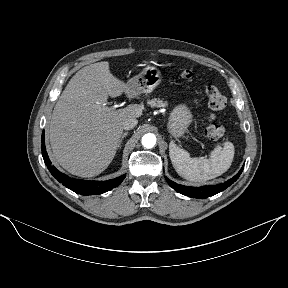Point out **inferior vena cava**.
<instances>
[{
	"label": "inferior vena cava",
	"instance_id": "602c4592",
	"mask_svg": "<svg viewBox=\"0 0 288 288\" xmlns=\"http://www.w3.org/2000/svg\"><path fill=\"white\" fill-rule=\"evenodd\" d=\"M138 121L136 118H128L123 123V129L130 130L133 129L137 125Z\"/></svg>",
	"mask_w": 288,
	"mask_h": 288
}]
</instances>
